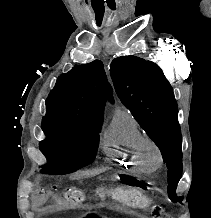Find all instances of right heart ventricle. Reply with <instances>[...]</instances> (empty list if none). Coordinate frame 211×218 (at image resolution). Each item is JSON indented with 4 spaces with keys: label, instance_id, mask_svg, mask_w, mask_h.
Returning a JSON list of instances; mask_svg holds the SVG:
<instances>
[{
    "label": "right heart ventricle",
    "instance_id": "right-heart-ventricle-1",
    "mask_svg": "<svg viewBox=\"0 0 211 218\" xmlns=\"http://www.w3.org/2000/svg\"><path fill=\"white\" fill-rule=\"evenodd\" d=\"M145 135L129 109H118L103 134L105 157L120 169H146L139 160Z\"/></svg>",
    "mask_w": 211,
    "mask_h": 218
}]
</instances>
